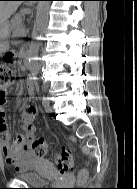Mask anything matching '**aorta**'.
<instances>
[{
    "label": "aorta",
    "mask_w": 137,
    "mask_h": 189,
    "mask_svg": "<svg viewBox=\"0 0 137 189\" xmlns=\"http://www.w3.org/2000/svg\"><path fill=\"white\" fill-rule=\"evenodd\" d=\"M50 1H40L38 3L37 7V14H36V21L34 25V35H31V46L29 50V56L31 58H36L38 57L39 53V45H38V38L42 36L43 32L46 29L47 23H48V18H49V11H50ZM32 67L35 69L37 68V64L33 63ZM35 72V71H34ZM34 76H39V73H34ZM38 78V77H37Z\"/></svg>",
    "instance_id": "aorta-1"
}]
</instances>
